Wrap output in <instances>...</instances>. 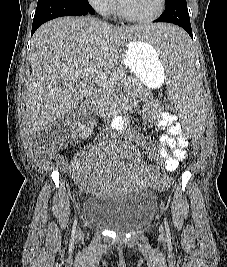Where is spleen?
Returning a JSON list of instances; mask_svg holds the SVG:
<instances>
[{"label":"spleen","instance_id":"3e777b00","mask_svg":"<svg viewBox=\"0 0 227 267\" xmlns=\"http://www.w3.org/2000/svg\"><path fill=\"white\" fill-rule=\"evenodd\" d=\"M130 30H136V33H128L133 43H148V47H155L159 59L169 63L168 72L163 76L169 96L178 104L189 105L178 106V115H203L202 106H194L203 103L202 88L195 76L192 43L185 29L174 22H140V25H130ZM180 121L185 129L184 137L204 140L206 124L202 116H180Z\"/></svg>","mask_w":227,"mask_h":267}]
</instances>
